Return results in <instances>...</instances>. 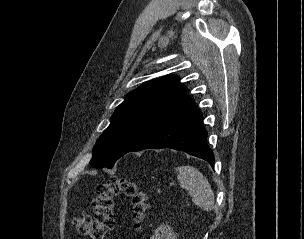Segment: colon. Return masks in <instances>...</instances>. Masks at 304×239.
Returning a JSON list of instances; mask_svg holds the SVG:
<instances>
[{
    "instance_id": "colon-1",
    "label": "colon",
    "mask_w": 304,
    "mask_h": 239,
    "mask_svg": "<svg viewBox=\"0 0 304 239\" xmlns=\"http://www.w3.org/2000/svg\"><path fill=\"white\" fill-rule=\"evenodd\" d=\"M120 194L130 199L135 229L141 230L149 209L148 195L135 181L125 177H114L96 187V196L93 200L94 216L81 214L72 219L78 233L90 239H105L113 229L114 199Z\"/></svg>"
}]
</instances>
